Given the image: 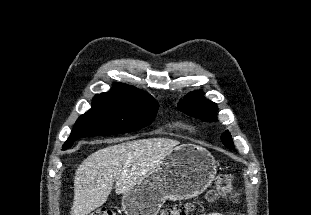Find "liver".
Instances as JSON below:
<instances>
[{
  "label": "liver",
  "instance_id": "6515ba94",
  "mask_svg": "<svg viewBox=\"0 0 311 215\" xmlns=\"http://www.w3.org/2000/svg\"><path fill=\"white\" fill-rule=\"evenodd\" d=\"M97 150L79 165L74 177L71 215H88L115 192H128L146 178L180 142L168 138H148ZM125 141V142H123Z\"/></svg>",
  "mask_w": 311,
  "mask_h": 215
}]
</instances>
